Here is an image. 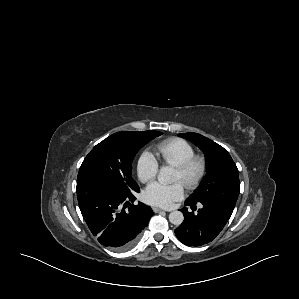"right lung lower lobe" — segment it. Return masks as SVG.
Returning a JSON list of instances; mask_svg holds the SVG:
<instances>
[{
  "label": "right lung lower lobe",
  "instance_id": "98d812e1",
  "mask_svg": "<svg viewBox=\"0 0 299 299\" xmlns=\"http://www.w3.org/2000/svg\"><path fill=\"white\" fill-rule=\"evenodd\" d=\"M124 191L95 177L77 181V197L90 231L106 247L117 251L131 248L153 216L151 208L135 201V192Z\"/></svg>",
  "mask_w": 299,
  "mask_h": 299
}]
</instances>
